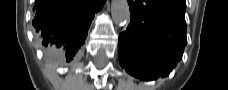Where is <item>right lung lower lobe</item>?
Segmentation results:
<instances>
[{
	"label": "right lung lower lobe",
	"instance_id": "98d812e1",
	"mask_svg": "<svg viewBox=\"0 0 228 90\" xmlns=\"http://www.w3.org/2000/svg\"><path fill=\"white\" fill-rule=\"evenodd\" d=\"M106 0H36L32 24L36 38L56 58L73 60Z\"/></svg>",
	"mask_w": 228,
	"mask_h": 90
}]
</instances>
